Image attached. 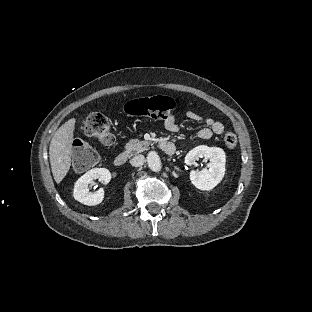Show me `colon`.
<instances>
[{"label":"colon","mask_w":312,"mask_h":312,"mask_svg":"<svg viewBox=\"0 0 312 312\" xmlns=\"http://www.w3.org/2000/svg\"><path fill=\"white\" fill-rule=\"evenodd\" d=\"M175 107L176 103L169 96L142 97L129 101L126 105V112L133 116H144L153 120H162ZM83 133L104 143L110 142L113 139L111 122L100 111H93L88 115L83 125ZM224 143L227 148H234L237 145V137L232 133L226 134L224 136ZM74 158L90 166L99 159V155L95 150L82 148L75 150Z\"/></svg>","instance_id":"colon-1"}]
</instances>
